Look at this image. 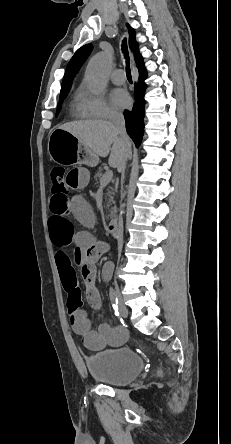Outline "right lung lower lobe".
I'll list each match as a JSON object with an SVG mask.
<instances>
[{
    "mask_svg": "<svg viewBox=\"0 0 231 444\" xmlns=\"http://www.w3.org/2000/svg\"><path fill=\"white\" fill-rule=\"evenodd\" d=\"M147 72L145 69L139 71V82L136 84V100L132 111H125L124 117L126 121V130L130 137L138 146L142 140L143 135V117H144V89L146 85L144 84V79L146 78Z\"/></svg>",
    "mask_w": 231,
    "mask_h": 444,
    "instance_id": "right-lung-lower-lobe-1",
    "label": "right lung lower lobe"
}]
</instances>
